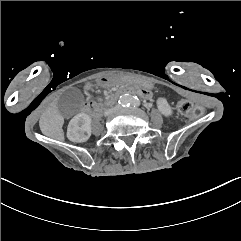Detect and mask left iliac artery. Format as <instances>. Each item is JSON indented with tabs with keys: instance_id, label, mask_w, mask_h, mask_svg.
Wrapping results in <instances>:
<instances>
[{
	"instance_id": "1",
	"label": "left iliac artery",
	"mask_w": 241,
	"mask_h": 241,
	"mask_svg": "<svg viewBox=\"0 0 241 241\" xmlns=\"http://www.w3.org/2000/svg\"><path fill=\"white\" fill-rule=\"evenodd\" d=\"M130 105L133 107H138L140 106V100L136 97L132 98Z\"/></svg>"
}]
</instances>
